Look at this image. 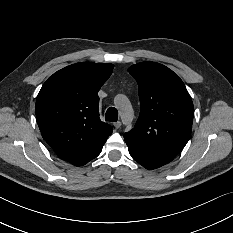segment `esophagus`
<instances>
[{
  "label": "esophagus",
  "mask_w": 233,
  "mask_h": 233,
  "mask_svg": "<svg viewBox=\"0 0 233 233\" xmlns=\"http://www.w3.org/2000/svg\"><path fill=\"white\" fill-rule=\"evenodd\" d=\"M113 126L116 128V129H119L121 127V122L118 121V122H114L113 123Z\"/></svg>",
  "instance_id": "34e87169"
}]
</instances>
